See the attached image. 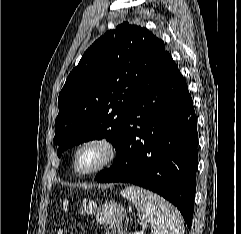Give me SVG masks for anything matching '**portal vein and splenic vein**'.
Wrapping results in <instances>:
<instances>
[{"instance_id": "portal-vein-and-splenic-vein-1", "label": "portal vein and splenic vein", "mask_w": 241, "mask_h": 234, "mask_svg": "<svg viewBox=\"0 0 241 234\" xmlns=\"http://www.w3.org/2000/svg\"><path fill=\"white\" fill-rule=\"evenodd\" d=\"M133 234H142V233H140V232H134Z\"/></svg>"}]
</instances>
